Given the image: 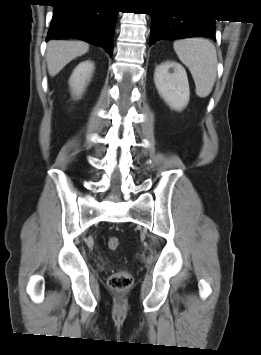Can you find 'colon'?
<instances>
[{
	"label": "colon",
	"instance_id": "1",
	"mask_svg": "<svg viewBox=\"0 0 261 355\" xmlns=\"http://www.w3.org/2000/svg\"><path fill=\"white\" fill-rule=\"evenodd\" d=\"M120 239L116 236H111L107 240V246L111 251H116L120 247ZM133 278L128 271H118L114 273L108 281L111 289L115 291H125L132 286Z\"/></svg>",
	"mask_w": 261,
	"mask_h": 355
}]
</instances>
